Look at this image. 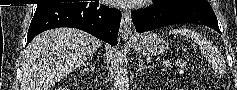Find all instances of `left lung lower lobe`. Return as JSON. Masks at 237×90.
Segmentation results:
<instances>
[{"label":"left lung lower lobe","mask_w":237,"mask_h":90,"mask_svg":"<svg viewBox=\"0 0 237 90\" xmlns=\"http://www.w3.org/2000/svg\"><path fill=\"white\" fill-rule=\"evenodd\" d=\"M154 2L157 4L155 7L131 13L137 32L142 33L171 24L194 23L211 27L221 33L213 10L166 5L158 0Z\"/></svg>","instance_id":"left-lung-lower-lobe-1"}]
</instances>
